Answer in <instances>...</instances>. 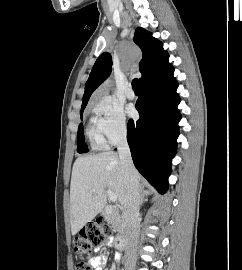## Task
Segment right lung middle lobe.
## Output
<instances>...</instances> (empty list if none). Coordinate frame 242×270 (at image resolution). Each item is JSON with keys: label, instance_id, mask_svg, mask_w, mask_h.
I'll return each mask as SVG.
<instances>
[{"label": "right lung middle lobe", "instance_id": "obj_1", "mask_svg": "<svg viewBox=\"0 0 242 270\" xmlns=\"http://www.w3.org/2000/svg\"><path fill=\"white\" fill-rule=\"evenodd\" d=\"M84 108H81V119H82V113ZM77 151L78 153H85L88 151V148L84 142V135H83V124L81 123L78 127V133H77Z\"/></svg>", "mask_w": 242, "mask_h": 270}]
</instances>
